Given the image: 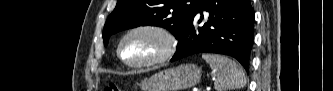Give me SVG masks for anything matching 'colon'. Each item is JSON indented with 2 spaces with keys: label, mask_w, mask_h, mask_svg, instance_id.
Instances as JSON below:
<instances>
[{
  "label": "colon",
  "mask_w": 333,
  "mask_h": 91,
  "mask_svg": "<svg viewBox=\"0 0 333 91\" xmlns=\"http://www.w3.org/2000/svg\"><path fill=\"white\" fill-rule=\"evenodd\" d=\"M104 91H121V88L115 83H109L106 85Z\"/></svg>",
  "instance_id": "colon-1"
}]
</instances>
